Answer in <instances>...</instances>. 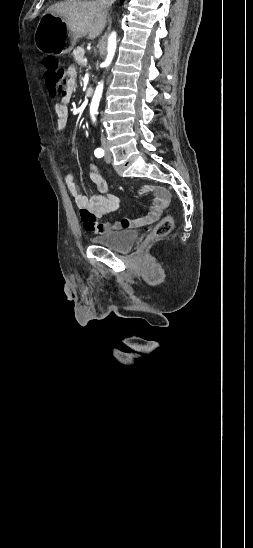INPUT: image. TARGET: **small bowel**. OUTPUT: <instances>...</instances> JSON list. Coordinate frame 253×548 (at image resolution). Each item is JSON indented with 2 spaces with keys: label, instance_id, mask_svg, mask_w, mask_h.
Instances as JSON below:
<instances>
[{
  "label": "small bowel",
  "instance_id": "obj_1",
  "mask_svg": "<svg viewBox=\"0 0 253 548\" xmlns=\"http://www.w3.org/2000/svg\"><path fill=\"white\" fill-rule=\"evenodd\" d=\"M69 76L67 82V92L63 95L62 100L55 104L56 128L59 133H63L69 121L68 101L75 89L76 71L74 68H69L67 71ZM92 171L89 174V179L96 188L98 194L92 197H87L78 188L73 175L67 173L65 175V183L69 193L72 195L77 207L81 210L80 217L85 229L95 234H102L109 231L135 228L153 223L158 219L161 213L169 206L171 201L170 192L160 186L143 185L138 194L146 196L153 193L155 200L149 211L138 219H123L112 223H98L97 219L102 218L106 214L114 211L118 207V199L115 195L108 192L106 180L100 174L96 165L91 164Z\"/></svg>",
  "mask_w": 253,
  "mask_h": 548
}]
</instances>
